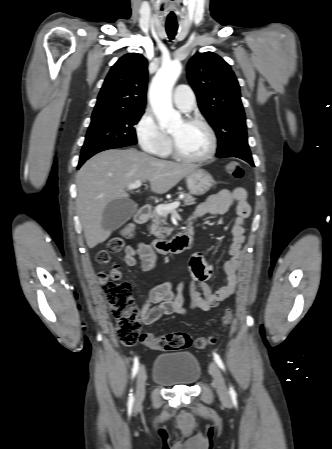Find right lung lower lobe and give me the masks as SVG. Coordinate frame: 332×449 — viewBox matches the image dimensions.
I'll return each mask as SVG.
<instances>
[{
  "mask_svg": "<svg viewBox=\"0 0 332 449\" xmlns=\"http://www.w3.org/2000/svg\"><path fill=\"white\" fill-rule=\"evenodd\" d=\"M121 147H125V146H121V145H108V146H103V147L94 149V150H92V151H88V152L82 153L81 156H80V161H79V164H78V167H77V168H80V166H81L87 159H89L90 157H92L94 154H96V153H98V152H101V151H104V150H107V149L121 148Z\"/></svg>",
  "mask_w": 332,
  "mask_h": 449,
  "instance_id": "right-lung-lower-lobe-1",
  "label": "right lung lower lobe"
}]
</instances>
